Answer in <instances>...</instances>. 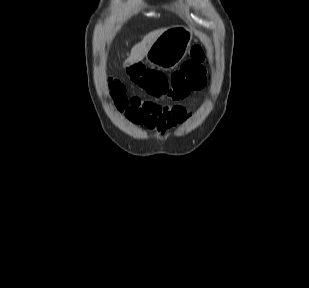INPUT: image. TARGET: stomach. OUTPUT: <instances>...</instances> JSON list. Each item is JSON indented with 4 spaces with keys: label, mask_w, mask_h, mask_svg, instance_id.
<instances>
[{
    "label": "stomach",
    "mask_w": 309,
    "mask_h": 288,
    "mask_svg": "<svg viewBox=\"0 0 309 288\" xmlns=\"http://www.w3.org/2000/svg\"><path fill=\"white\" fill-rule=\"evenodd\" d=\"M192 36V31L183 26L166 29L145 55L147 62L163 70L176 67L186 56Z\"/></svg>",
    "instance_id": "1"
}]
</instances>
